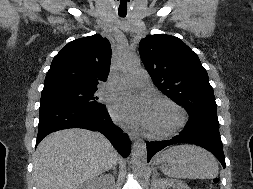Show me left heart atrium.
I'll list each match as a JSON object with an SVG mask.
<instances>
[{"label":"left heart atrium","instance_id":"39dd6f15","mask_svg":"<svg viewBox=\"0 0 253 189\" xmlns=\"http://www.w3.org/2000/svg\"><path fill=\"white\" fill-rule=\"evenodd\" d=\"M152 103L145 95L122 94L111 105V114L120 124L131 127H148Z\"/></svg>","mask_w":253,"mask_h":189}]
</instances>
